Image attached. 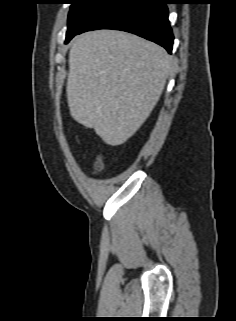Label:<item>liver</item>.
I'll list each match as a JSON object with an SVG mask.
<instances>
[{"label": "liver", "mask_w": 236, "mask_h": 321, "mask_svg": "<svg viewBox=\"0 0 236 321\" xmlns=\"http://www.w3.org/2000/svg\"><path fill=\"white\" fill-rule=\"evenodd\" d=\"M172 67V57L162 47L136 35L84 33L69 52L70 114L106 144L121 145L151 114Z\"/></svg>", "instance_id": "liver-1"}]
</instances>
